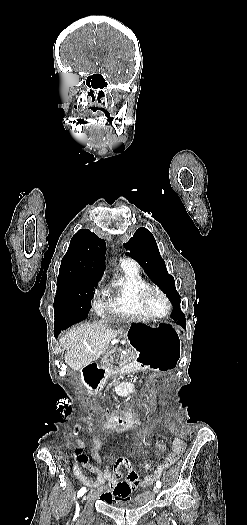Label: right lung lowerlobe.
<instances>
[{
  "mask_svg": "<svg viewBox=\"0 0 247 525\" xmlns=\"http://www.w3.org/2000/svg\"><path fill=\"white\" fill-rule=\"evenodd\" d=\"M67 328L65 325L54 326V336L57 337L61 330Z\"/></svg>",
  "mask_w": 247,
  "mask_h": 525,
  "instance_id": "obj_1",
  "label": "right lung lower lobe"
}]
</instances>
